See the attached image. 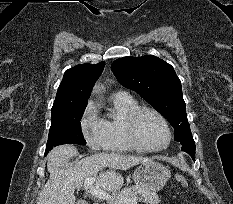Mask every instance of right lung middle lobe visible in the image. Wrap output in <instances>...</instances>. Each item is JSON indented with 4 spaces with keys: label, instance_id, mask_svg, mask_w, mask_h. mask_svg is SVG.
<instances>
[{
    "label": "right lung middle lobe",
    "instance_id": "1",
    "mask_svg": "<svg viewBox=\"0 0 233 204\" xmlns=\"http://www.w3.org/2000/svg\"><path fill=\"white\" fill-rule=\"evenodd\" d=\"M86 106L87 104H72L52 107L47 151L61 144H86L80 123Z\"/></svg>",
    "mask_w": 233,
    "mask_h": 204
}]
</instances>
